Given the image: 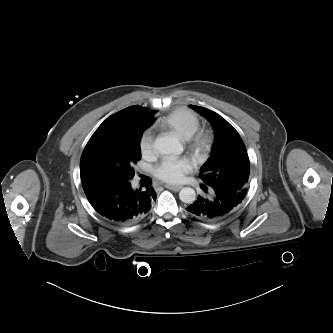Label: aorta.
<instances>
[{"instance_id": "1", "label": "aorta", "mask_w": 333, "mask_h": 333, "mask_svg": "<svg viewBox=\"0 0 333 333\" xmlns=\"http://www.w3.org/2000/svg\"><path fill=\"white\" fill-rule=\"evenodd\" d=\"M154 147L162 154L179 155L183 152V146L178 139L172 137H159L154 142ZM182 202L191 204L196 200V192L190 187H184L179 192Z\"/></svg>"}]
</instances>
